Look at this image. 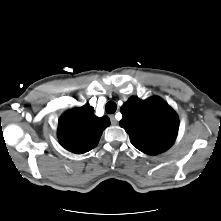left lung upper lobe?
Segmentation results:
<instances>
[{
  "label": "left lung upper lobe",
  "instance_id": "obj_1",
  "mask_svg": "<svg viewBox=\"0 0 221 221\" xmlns=\"http://www.w3.org/2000/svg\"><path fill=\"white\" fill-rule=\"evenodd\" d=\"M119 124L138 150L157 155L169 149L177 136L179 120L174 110L158 97H131L120 109Z\"/></svg>",
  "mask_w": 221,
  "mask_h": 221
}]
</instances>
